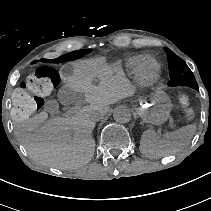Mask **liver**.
Returning <instances> with one entry per match:
<instances>
[{"label":"liver","instance_id":"1","mask_svg":"<svg viewBox=\"0 0 211 211\" xmlns=\"http://www.w3.org/2000/svg\"><path fill=\"white\" fill-rule=\"evenodd\" d=\"M96 65L81 62L74 65L73 74L66 78V84L81 92L90 106H85L68 118L55 117L47 120V113L41 112L28 120L15 122V136L28 153L43 165L58 169H75L88 163L95 150L92 131L96 112L102 116L108 105L127 97L123 82L108 79L98 85L92 84L88 75Z\"/></svg>","mask_w":211,"mask_h":211}]
</instances>
